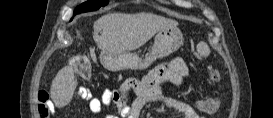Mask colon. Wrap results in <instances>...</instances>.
Segmentation results:
<instances>
[{
	"label": "colon",
	"instance_id": "5ec220e1",
	"mask_svg": "<svg viewBox=\"0 0 273 118\" xmlns=\"http://www.w3.org/2000/svg\"><path fill=\"white\" fill-rule=\"evenodd\" d=\"M72 65L75 71L78 73L79 77L86 82L92 79V71L87 59L82 55H76L72 59ZM209 75L212 81L219 82L220 74L215 69H209ZM38 114L41 118H48L50 115V110L53 106L51 102L50 95L47 91L41 90L38 94ZM221 104V97L218 93L216 96L208 98L198 104L200 111L205 113L216 112Z\"/></svg>",
	"mask_w": 273,
	"mask_h": 118
}]
</instances>
